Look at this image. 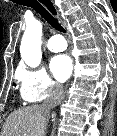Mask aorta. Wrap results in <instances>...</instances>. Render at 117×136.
Instances as JSON below:
<instances>
[{
  "label": "aorta",
  "instance_id": "obj_1",
  "mask_svg": "<svg viewBox=\"0 0 117 136\" xmlns=\"http://www.w3.org/2000/svg\"><path fill=\"white\" fill-rule=\"evenodd\" d=\"M41 38L42 23L38 20L27 23L21 41L20 53L22 60L30 67H37L41 62Z\"/></svg>",
  "mask_w": 117,
  "mask_h": 136
}]
</instances>
